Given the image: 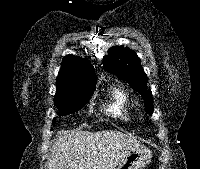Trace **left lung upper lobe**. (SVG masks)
I'll use <instances>...</instances> for the list:
<instances>
[{
	"label": "left lung upper lobe",
	"mask_w": 200,
	"mask_h": 169,
	"mask_svg": "<svg viewBox=\"0 0 200 169\" xmlns=\"http://www.w3.org/2000/svg\"><path fill=\"white\" fill-rule=\"evenodd\" d=\"M104 69L126 81L132 88L140 91L148 114L153 113V97L147 88V76L142 69L141 62L136 53L123 46H113L104 57Z\"/></svg>",
	"instance_id": "left-lung-upper-lobe-1"
}]
</instances>
